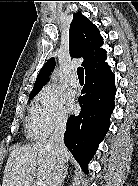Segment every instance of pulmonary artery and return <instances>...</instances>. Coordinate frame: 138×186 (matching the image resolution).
I'll use <instances>...</instances> for the list:
<instances>
[{"label":"pulmonary artery","mask_w":138,"mask_h":186,"mask_svg":"<svg viewBox=\"0 0 138 186\" xmlns=\"http://www.w3.org/2000/svg\"><path fill=\"white\" fill-rule=\"evenodd\" d=\"M70 85L74 88L79 87V80L75 74L70 77Z\"/></svg>","instance_id":"1"}]
</instances>
